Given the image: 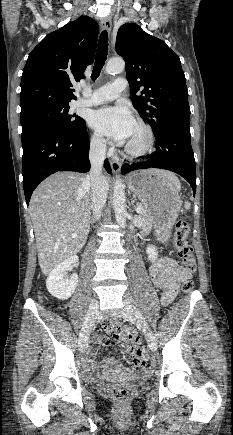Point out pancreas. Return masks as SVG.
Wrapping results in <instances>:
<instances>
[{
	"label": "pancreas",
	"instance_id": "1",
	"mask_svg": "<svg viewBox=\"0 0 233 435\" xmlns=\"http://www.w3.org/2000/svg\"><path fill=\"white\" fill-rule=\"evenodd\" d=\"M138 207L141 208V211L139 213V218L142 222L141 234H145L151 230L152 221L150 219L147 207L144 204H142L141 202L138 204Z\"/></svg>",
	"mask_w": 233,
	"mask_h": 435
}]
</instances>
